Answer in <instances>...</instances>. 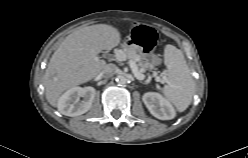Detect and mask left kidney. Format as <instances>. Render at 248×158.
<instances>
[{"instance_id":"obj_1","label":"left kidney","mask_w":248,"mask_h":158,"mask_svg":"<svg viewBox=\"0 0 248 158\" xmlns=\"http://www.w3.org/2000/svg\"><path fill=\"white\" fill-rule=\"evenodd\" d=\"M142 100L150 113L160 120H171L176 116L174 107L159 93H145Z\"/></svg>"}]
</instances>
